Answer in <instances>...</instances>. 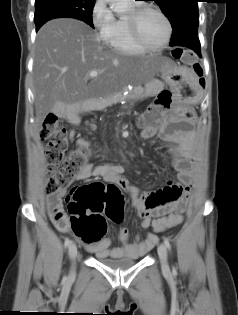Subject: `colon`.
I'll return each mask as SVG.
<instances>
[{
    "label": "colon",
    "instance_id": "colon-1",
    "mask_svg": "<svg viewBox=\"0 0 238 315\" xmlns=\"http://www.w3.org/2000/svg\"><path fill=\"white\" fill-rule=\"evenodd\" d=\"M172 55L190 66L204 86V70L196 55L188 49L177 48ZM171 103V94L164 91L145 111L139 126L153 128L167 113ZM41 140L47 143L45 152L47 164L46 192L50 194L64 190L72 184L79 171L87 164L89 148L86 142L66 155L68 149L67 130L54 114L46 116L41 132ZM71 214V228L84 243L100 241L106 232V218L120 223L124 217V196L119 186L113 183L92 182L75 187L67 198ZM177 217L167 215L153 221L154 231L161 232L176 225Z\"/></svg>",
    "mask_w": 238,
    "mask_h": 315
}]
</instances>
